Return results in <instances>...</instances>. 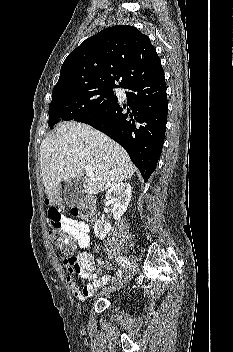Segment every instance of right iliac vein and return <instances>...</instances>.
I'll list each match as a JSON object with an SVG mask.
<instances>
[{
    "instance_id": "obj_1",
    "label": "right iliac vein",
    "mask_w": 233,
    "mask_h": 352,
    "mask_svg": "<svg viewBox=\"0 0 233 352\" xmlns=\"http://www.w3.org/2000/svg\"><path fill=\"white\" fill-rule=\"evenodd\" d=\"M131 262H132V269H131V273L126 276V278H124V280L116 283L115 285H113L112 287L109 288H105L102 291V294H109L111 292L116 291L117 289L122 288L123 286L127 285V283L131 280V278L133 277V275L136 273L137 267H138V260L136 257L131 256L130 257Z\"/></svg>"
}]
</instances>
